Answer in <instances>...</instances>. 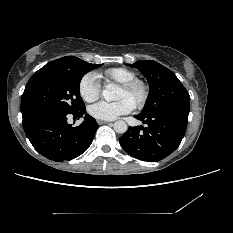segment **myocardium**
<instances>
[{"label": "myocardium", "mask_w": 233, "mask_h": 233, "mask_svg": "<svg viewBox=\"0 0 233 233\" xmlns=\"http://www.w3.org/2000/svg\"><path fill=\"white\" fill-rule=\"evenodd\" d=\"M120 87L134 97V107L139 109L143 108L148 102L150 88L144 80L135 78L128 82L121 83Z\"/></svg>", "instance_id": "obj_1"}]
</instances>
